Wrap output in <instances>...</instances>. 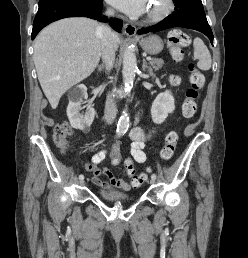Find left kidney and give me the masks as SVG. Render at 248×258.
<instances>
[{"label":"left kidney","mask_w":248,"mask_h":258,"mask_svg":"<svg viewBox=\"0 0 248 258\" xmlns=\"http://www.w3.org/2000/svg\"><path fill=\"white\" fill-rule=\"evenodd\" d=\"M175 109V101L171 92L166 90L160 93L151 106V117L155 124H162Z\"/></svg>","instance_id":"5707ae66"}]
</instances>
